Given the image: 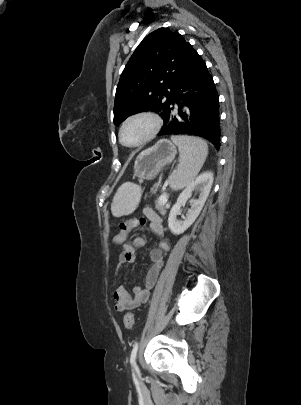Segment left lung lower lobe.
<instances>
[{"instance_id":"obj_1","label":"left lung lower lobe","mask_w":301,"mask_h":405,"mask_svg":"<svg viewBox=\"0 0 301 405\" xmlns=\"http://www.w3.org/2000/svg\"><path fill=\"white\" fill-rule=\"evenodd\" d=\"M175 103L178 105L175 111ZM159 135L199 136L220 148L219 98L206 63L195 51L181 77Z\"/></svg>"}]
</instances>
